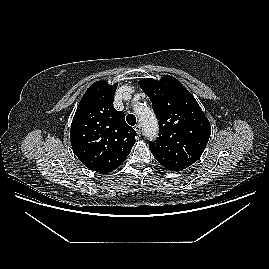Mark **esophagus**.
Here are the masks:
<instances>
[{
    "mask_svg": "<svg viewBox=\"0 0 269 269\" xmlns=\"http://www.w3.org/2000/svg\"><path fill=\"white\" fill-rule=\"evenodd\" d=\"M134 129H135L136 133L139 136L142 134V130H141V125L140 124L135 125Z\"/></svg>",
    "mask_w": 269,
    "mask_h": 269,
    "instance_id": "34e87169",
    "label": "esophagus"
}]
</instances>
